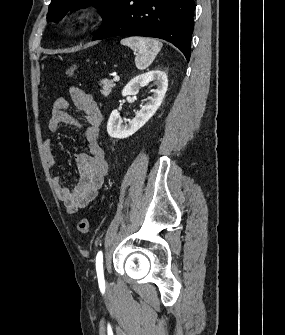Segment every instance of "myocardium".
Returning a JSON list of instances; mask_svg holds the SVG:
<instances>
[{"mask_svg":"<svg viewBox=\"0 0 285 335\" xmlns=\"http://www.w3.org/2000/svg\"><path fill=\"white\" fill-rule=\"evenodd\" d=\"M87 19H88V14L84 13V14L79 15V16L76 18V22H77L78 24H81V23L86 22Z\"/></svg>","mask_w":285,"mask_h":335,"instance_id":"f54148a6","label":"myocardium"}]
</instances>
